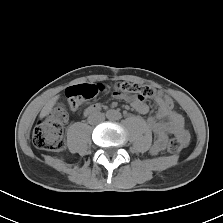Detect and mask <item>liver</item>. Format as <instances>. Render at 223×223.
<instances>
[{
	"mask_svg": "<svg viewBox=\"0 0 223 223\" xmlns=\"http://www.w3.org/2000/svg\"><path fill=\"white\" fill-rule=\"evenodd\" d=\"M59 99L58 96H55L53 98H51L43 107V109L41 110L40 113V118L45 117L46 115H48L50 113V111L52 110L53 106L55 105V103L57 102V100Z\"/></svg>",
	"mask_w": 223,
	"mask_h": 223,
	"instance_id": "liver-1",
	"label": "liver"
}]
</instances>
